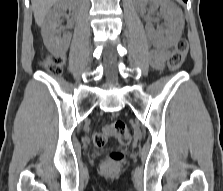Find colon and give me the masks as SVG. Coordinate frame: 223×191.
Segmentation results:
<instances>
[{
  "instance_id": "obj_1",
  "label": "colon",
  "mask_w": 223,
  "mask_h": 191,
  "mask_svg": "<svg viewBox=\"0 0 223 191\" xmlns=\"http://www.w3.org/2000/svg\"><path fill=\"white\" fill-rule=\"evenodd\" d=\"M179 2L183 3L184 1L180 0ZM188 50V41L185 38L179 39L168 59V66L172 71L177 70L181 66ZM63 63V56L51 55L43 61V66L51 75L59 76ZM108 136H115L124 145L129 144L131 141V134L125 122L120 120L105 126L102 132L94 133L92 137L93 144L98 148L104 147L107 143ZM122 162L123 154L119 151H111L103 162V171L107 174H114L120 170Z\"/></svg>"
}]
</instances>
